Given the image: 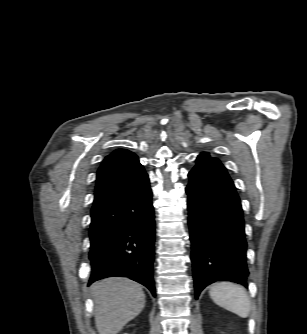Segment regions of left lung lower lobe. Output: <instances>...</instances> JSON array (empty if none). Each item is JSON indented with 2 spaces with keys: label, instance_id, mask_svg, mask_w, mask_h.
Wrapping results in <instances>:
<instances>
[{
  "label": "left lung lower lobe",
  "instance_id": "1",
  "mask_svg": "<svg viewBox=\"0 0 307 334\" xmlns=\"http://www.w3.org/2000/svg\"><path fill=\"white\" fill-rule=\"evenodd\" d=\"M188 224L195 296L215 281L247 286V243L240 199L225 167L197 159L189 172Z\"/></svg>",
  "mask_w": 307,
  "mask_h": 334
}]
</instances>
